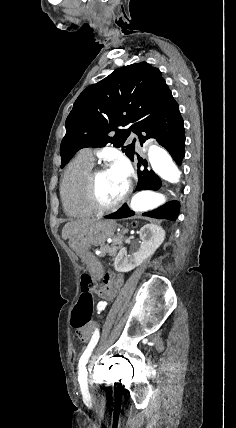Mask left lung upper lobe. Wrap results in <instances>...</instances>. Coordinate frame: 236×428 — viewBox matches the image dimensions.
Here are the masks:
<instances>
[{
    "label": "left lung upper lobe",
    "instance_id": "left-lung-upper-lobe-1",
    "mask_svg": "<svg viewBox=\"0 0 236 428\" xmlns=\"http://www.w3.org/2000/svg\"><path fill=\"white\" fill-rule=\"evenodd\" d=\"M173 100L159 69L146 62L117 69L87 87L66 119V135L60 147L61 168L81 148L104 147L109 143L122 147L133 161L135 140L126 146V139L131 132L139 135L144 125L160 115ZM117 126L127 129H117Z\"/></svg>",
    "mask_w": 236,
    "mask_h": 428
}]
</instances>
